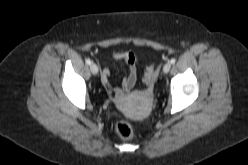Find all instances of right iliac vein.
<instances>
[{"mask_svg":"<svg viewBox=\"0 0 248 165\" xmlns=\"http://www.w3.org/2000/svg\"><path fill=\"white\" fill-rule=\"evenodd\" d=\"M90 70L91 72L94 74V75H97L98 74V66L95 64V63H92L90 65Z\"/></svg>","mask_w":248,"mask_h":165,"instance_id":"63e3f726","label":"right iliac vein"}]
</instances>
